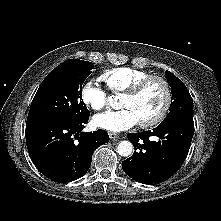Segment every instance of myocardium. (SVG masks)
I'll use <instances>...</instances> for the list:
<instances>
[{
	"mask_svg": "<svg viewBox=\"0 0 221 221\" xmlns=\"http://www.w3.org/2000/svg\"><path fill=\"white\" fill-rule=\"evenodd\" d=\"M152 81H158L163 85L165 90V100L162 108L153 118L139 122V125L142 128L154 127L160 124L167 116L172 103V88L170 86V83L162 76L149 75L136 82L129 90L124 93V96L134 98L138 96L142 92V90Z\"/></svg>",
	"mask_w": 221,
	"mask_h": 221,
	"instance_id": "f54148a6",
	"label": "myocardium"
}]
</instances>
